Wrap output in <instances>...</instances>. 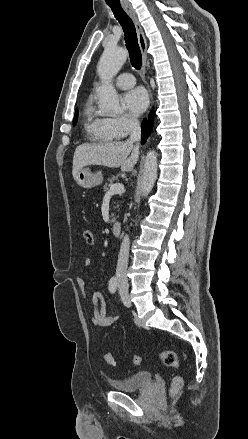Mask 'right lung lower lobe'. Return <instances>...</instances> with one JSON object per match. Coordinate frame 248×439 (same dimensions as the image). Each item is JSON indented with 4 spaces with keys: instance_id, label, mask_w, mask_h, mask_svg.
Wrapping results in <instances>:
<instances>
[{
    "instance_id": "1",
    "label": "right lung lower lobe",
    "mask_w": 248,
    "mask_h": 439,
    "mask_svg": "<svg viewBox=\"0 0 248 439\" xmlns=\"http://www.w3.org/2000/svg\"><path fill=\"white\" fill-rule=\"evenodd\" d=\"M152 123H153V112L150 113L149 115V122L144 119L142 124H141V128H142V143H145L147 138H148V133L151 132L152 130Z\"/></svg>"
}]
</instances>
